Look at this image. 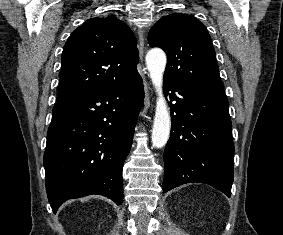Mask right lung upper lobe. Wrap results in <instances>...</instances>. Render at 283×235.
I'll return each mask as SVG.
<instances>
[{
    "label": "right lung upper lobe",
    "instance_id": "obj_1",
    "mask_svg": "<svg viewBox=\"0 0 283 235\" xmlns=\"http://www.w3.org/2000/svg\"><path fill=\"white\" fill-rule=\"evenodd\" d=\"M137 41L114 16L88 19L69 36L61 58L57 103L136 75Z\"/></svg>",
    "mask_w": 283,
    "mask_h": 235
}]
</instances>
